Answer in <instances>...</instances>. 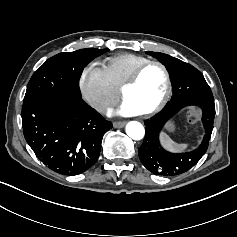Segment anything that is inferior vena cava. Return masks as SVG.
Listing matches in <instances>:
<instances>
[{
    "label": "inferior vena cava",
    "mask_w": 237,
    "mask_h": 237,
    "mask_svg": "<svg viewBox=\"0 0 237 237\" xmlns=\"http://www.w3.org/2000/svg\"><path fill=\"white\" fill-rule=\"evenodd\" d=\"M92 106L101 113H104L108 108H112V105L107 101H95Z\"/></svg>",
    "instance_id": "inferior-vena-cava-1"
}]
</instances>
